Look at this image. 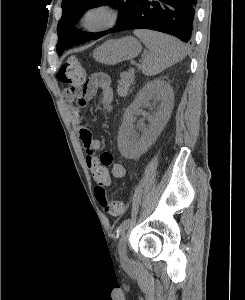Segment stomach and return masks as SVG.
Segmentation results:
<instances>
[{"mask_svg":"<svg viewBox=\"0 0 245 300\" xmlns=\"http://www.w3.org/2000/svg\"><path fill=\"white\" fill-rule=\"evenodd\" d=\"M141 48V44L136 38L127 36L106 41L94 50L93 57L102 64L115 65L135 58L141 52Z\"/></svg>","mask_w":245,"mask_h":300,"instance_id":"1","label":"stomach"}]
</instances>
